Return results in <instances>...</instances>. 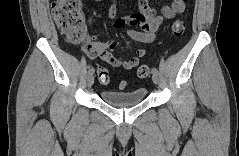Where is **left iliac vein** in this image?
<instances>
[{"mask_svg":"<svg viewBox=\"0 0 239 156\" xmlns=\"http://www.w3.org/2000/svg\"><path fill=\"white\" fill-rule=\"evenodd\" d=\"M152 80L155 84H158L159 82L158 74H152Z\"/></svg>","mask_w":239,"mask_h":156,"instance_id":"1","label":"left iliac vein"}]
</instances>
